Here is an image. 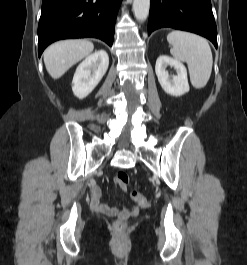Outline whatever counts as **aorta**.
Returning a JSON list of instances; mask_svg holds the SVG:
<instances>
[{
	"instance_id": "762f6f07",
	"label": "aorta",
	"mask_w": 247,
	"mask_h": 265,
	"mask_svg": "<svg viewBox=\"0 0 247 265\" xmlns=\"http://www.w3.org/2000/svg\"><path fill=\"white\" fill-rule=\"evenodd\" d=\"M150 8V0H133V12L138 21H145Z\"/></svg>"
}]
</instances>
